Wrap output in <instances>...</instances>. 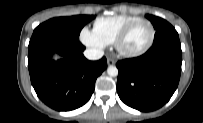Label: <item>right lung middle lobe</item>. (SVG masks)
<instances>
[{
  "mask_svg": "<svg viewBox=\"0 0 203 123\" xmlns=\"http://www.w3.org/2000/svg\"><path fill=\"white\" fill-rule=\"evenodd\" d=\"M92 19H94L93 15L52 18L37 26L33 33L44 32L76 40L81 29Z\"/></svg>",
  "mask_w": 203,
  "mask_h": 123,
  "instance_id": "1",
  "label": "right lung middle lobe"
}]
</instances>
